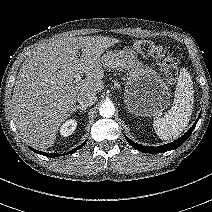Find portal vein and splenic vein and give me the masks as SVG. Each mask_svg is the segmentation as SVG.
<instances>
[{
	"label": "portal vein and splenic vein",
	"mask_w": 212,
	"mask_h": 212,
	"mask_svg": "<svg viewBox=\"0 0 212 212\" xmlns=\"http://www.w3.org/2000/svg\"><path fill=\"white\" fill-rule=\"evenodd\" d=\"M79 81H81V76H80V75H78V76L75 78V82H79Z\"/></svg>",
	"instance_id": "18ae733b"
}]
</instances>
